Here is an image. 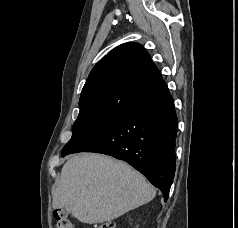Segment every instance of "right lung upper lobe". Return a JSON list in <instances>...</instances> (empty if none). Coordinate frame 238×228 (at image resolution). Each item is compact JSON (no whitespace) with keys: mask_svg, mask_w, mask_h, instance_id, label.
<instances>
[{"mask_svg":"<svg viewBox=\"0 0 238 228\" xmlns=\"http://www.w3.org/2000/svg\"><path fill=\"white\" fill-rule=\"evenodd\" d=\"M167 91L148 52L129 42L114 48L94 66L81 92L80 112H126Z\"/></svg>","mask_w":238,"mask_h":228,"instance_id":"1","label":"right lung upper lobe"}]
</instances>
